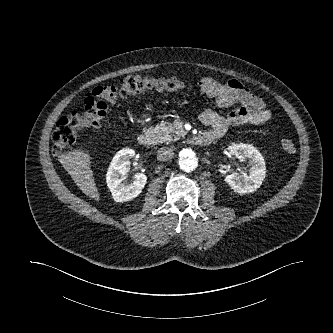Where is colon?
Here are the masks:
<instances>
[{"label": "colon", "mask_w": 333, "mask_h": 333, "mask_svg": "<svg viewBox=\"0 0 333 333\" xmlns=\"http://www.w3.org/2000/svg\"><path fill=\"white\" fill-rule=\"evenodd\" d=\"M186 87V82L176 78L149 75L129 76L120 87L97 86L87 94L82 110H74L57 122L52 133L53 152L56 156L62 155L72 148L78 130L97 127L106 115L108 104L146 90L177 91ZM281 147L290 156L296 154L297 148L288 138L281 140Z\"/></svg>", "instance_id": "colon-1"}]
</instances>
